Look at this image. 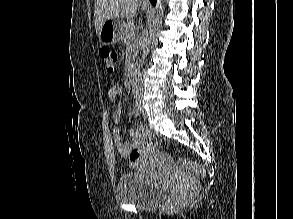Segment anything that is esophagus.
I'll return each instance as SVG.
<instances>
[{"label": "esophagus", "instance_id": "1", "mask_svg": "<svg viewBox=\"0 0 293 219\" xmlns=\"http://www.w3.org/2000/svg\"><path fill=\"white\" fill-rule=\"evenodd\" d=\"M143 4H149V0H142Z\"/></svg>", "mask_w": 293, "mask_h": 219}]
</instances>
